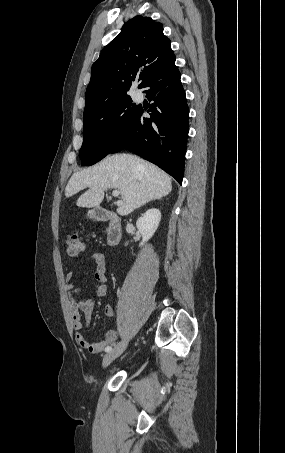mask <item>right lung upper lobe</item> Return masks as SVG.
Instances as JSON below:
<instances>
[{"mask_svg":"<svg viewBox=\"0 0 285 453\" xmlns=\"http://www.w3.org/2000/svg\"><path fill=\"white\" fill-rule=\"evenodd\" d=\"M174 62L162 24L140 15L132 18L92 65L84 113L127 95L138 75V88H144L151 78L172 68Z\"/></svg>","mask_w":285,"mask_h":453,"instance_id":"cb5924a9","label":"right lung upper lobe"}]
</instances>
